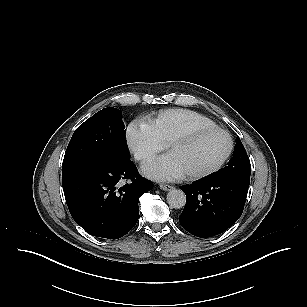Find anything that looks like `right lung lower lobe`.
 Returning a JSON list of instances; mask_svg holds the SVG:
<instances>
[{"mask_svg": "<svg viewBox=\"0 0 307 307\" xmlns=\"http://www.w3.org/2000/svg\"><path fill=\"white\" fill-rule=\"evenodd\" d=\"M62 182L75 222L87 233L108 239H118L135 226L139 197L153 187L130 159L111 155L63 168Z\"/></svg>", "mask_w": 307, "mask_h": 307, "instance_id": "right-lung-lower-lobe-1", "label": "right lung lower lobe"}]
</instances>
